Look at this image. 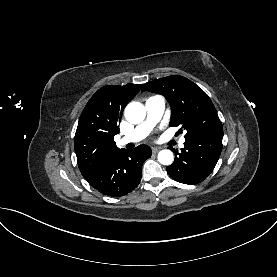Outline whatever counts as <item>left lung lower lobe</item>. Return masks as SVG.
Returning a JSON list of instances; mask_svg holds the SVG:
<instances>
[{
  "label": "left lung lower lobe",
  "mask_w": 277,
  "mask_h": 277,
  "mask_svg": "<svg viewBox=\"0 0 277 277\" xmlns=\"http://www.w3.org/2000/svg\"><path fill=\"white\" fill-rule=\"evenodd\" d=\"M223 131L210 132L185 140L184 148L167 167L169 176L184 184L202 182L213 171L222 151Z\"/></svg>",
  "instance_id": "1"
}]
</instances>
